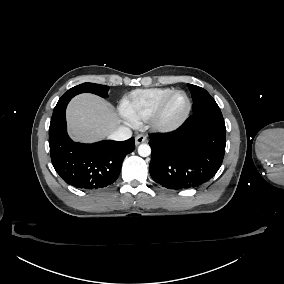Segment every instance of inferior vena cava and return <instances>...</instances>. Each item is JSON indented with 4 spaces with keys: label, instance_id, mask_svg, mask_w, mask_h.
<instances>
[{
    "label": "inferior vena cava",
    "instance_id": "602c4592",
    "mask_svg": "<svg viewBox=\"0 0 284 284\" xmlns=\"http://www.w3.org/2000/svg\"><path fill=\"white\" fill-rule=\"evenodd\" d=\"M108 137L115 141H125L132 137V132L126 127H118L113 130Z\"/></svg>",
    "mask_w": 284,
    "mask_h": 284
}]
</instances>
